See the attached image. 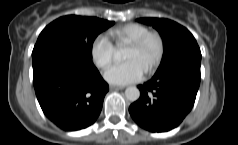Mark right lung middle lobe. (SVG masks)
Returning a JSON list of instances; mask_svg holds the SVG:
<instances>
[{
    "mask_svg": "<svg viewBox=\"0 0 238 145\" xmlns=\"http://www.w3.org/2000/svg\"><path fill=\"white\" fill-rule=\"evenodd\" d=\"M113 24V21L96 17H60L40 33L32 57L50 51H65L92 62V44L95 38Z\"/></svg>",
    "mask_w": 238,
    "mask_h": 145,
    "instance_id": "dd1d6c3e",
    "label": "right lung middle lobe"
}]
</instances>
